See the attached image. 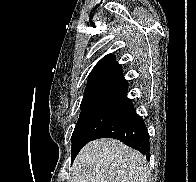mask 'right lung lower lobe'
Listing matches in <instances>:
<instances>
[{
	"instance_id": "98d812e1",
	"label": "right lung lower lobe",
	"mask_w": 196,
	"mask_h": 182,
	"mask_svg": "<svg viewBox=\"0 0 196 182\" xmlns=\"http://www.w3.org/2000/svg\"><path fill=\"white\" fill-rule=\"evenodd\" d=\"M114 138L122 141L150 159L149 134L142 118L132 110L130 113L110 124L100 131L94 138ZM74 158L72 159V161Z\"/></svg>"
}]
</instances>
